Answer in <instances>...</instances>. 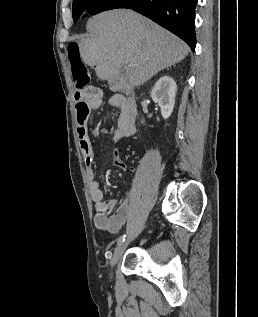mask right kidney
I'll return each mask as SVG.
<instances>
[{
	"label": "right kidney",
	"instance_id": "right-kidney-1",
	"mask_svg": "<svg viewBox=\"0 0 258 317\" xmlns=\"http://www.w3.org/2000/svg\"><path fill=\"white\" fill-rule=\"evenodd\" d=\"M177 84L171 76H161L151 90V96L161 106L163 118H168L173 112Z\"/></svg>",
	"mask_w": 258,
	"mask_h": 317
}]
</instances>
